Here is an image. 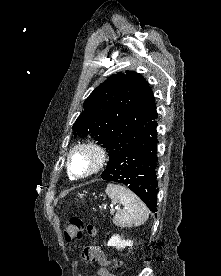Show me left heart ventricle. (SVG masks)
<instances>
[{
    "label": "left heart ventricle",
    "instance_id": "b2bd125f",
    "mask_svg": "<svg viewBox=\"0 0 221 276\" xmlns=\"http://www.w3.org/2000/svg\"><path fill=\"white\" fill-rule=\"evenodd\" d=\"M91 158L86 153H77L72 158V169L77 174L85 173L91 166Z\"/></svg>",
    "mask_w": 221,
    "mask_h": 276
}]
</instances>
